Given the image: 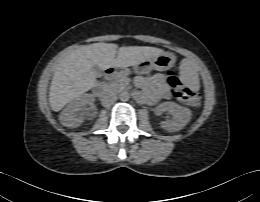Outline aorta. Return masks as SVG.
I'll list each match as a JSON object with an SVG mask.
<instances>
[{"instance_id":"obj_1","label":"aorta","mask_w":260,"mask_h":202,"mask_svg":"<svg viewBox=\"0 0 260 202\" xmlns=\"http://www.w3.org/2000/svg\"><path fill=\"white\" fill-rule=\"evenodd\" d=\"M130 98V94L128 91H123L120 93V100L127 101Z\"/></svg>"}]
</instances>
